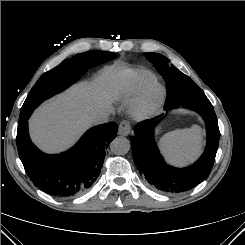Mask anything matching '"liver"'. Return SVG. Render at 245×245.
Returning <instances> with one entry per match:
<instances>
[{
  "label": "liver",
  "mask_w": 245,
  "mask_h": 245,
  "mask_svg": "<svg viewBox=\"0 0 245 245\" xmlns=\"http://www.w3.org/2000/svg\"><path fill=\"white\" fill-rule=\"evenodd\" d=\"M123 72L121 67H106L93 81L78 83L42 104L29 121L34 143L48 153L70 147L97 115L112 111Z\"/></svg>",
  "instance_id": "liver-1"
}]
</instances>
